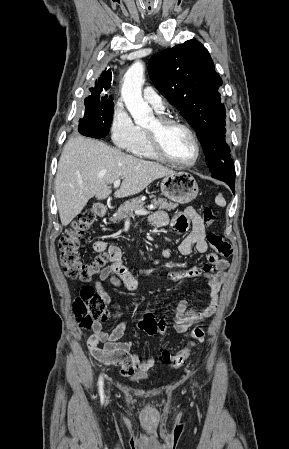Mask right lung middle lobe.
Returning a JSON list of instances; mask_svg holds the SVG:
<instances>
[{"mask_svg":"<svg viewBox=\"0 0 289 449\" xmlns=\"http://www.w3.org/2000/svg\"><path fill=\"white\" fill-rule=\"evenodd\" d=\"M85 114L79 120L78 131L88 137L100 139L110 130L113 118L114 103L112 98L90 96L85 99Z\"/></svg>","mask_w":289,"mask_h":449,"instance_id":"1","label":"right lung middle lobe"}]
</instances>
